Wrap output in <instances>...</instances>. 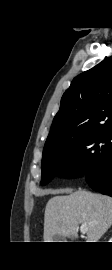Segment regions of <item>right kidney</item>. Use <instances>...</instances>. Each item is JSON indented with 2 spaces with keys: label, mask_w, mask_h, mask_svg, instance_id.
I'll return each instance as SVG.
<instances>
[{
  "label": "right kidney",
  "mask_w": 112,
  "mask_h": 270,
  "mask_svg": "<svg viewBox=\"0 0 112 270\" xmlns=\"http://www.w3.org/2000/svg\"><path fill=\"white\" fill-rule=\"evenodd\" d=\"M109 242H112V238L109 240Z\"/></svg>",
  "instance_id": "ca27d5eb"
}]
</instances>
